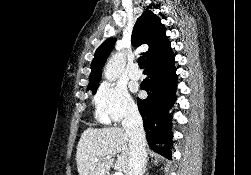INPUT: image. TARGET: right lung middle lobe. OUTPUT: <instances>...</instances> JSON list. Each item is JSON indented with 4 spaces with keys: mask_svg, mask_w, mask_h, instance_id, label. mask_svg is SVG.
Wrapping results in <instances>:
<instances>
[{
    "mask_svg": "<svg viewBox=\"0 0 251 175\" xmlns=\"http://www.w3.org/2000/svg\"><path fill=\"white\" fill-rule=\"evenodd\" d=\"M96 89H97V87H94V88H88V90H91L93 93H95V92H96Z\"/></svg>",
    "mask_w": 251,
    "mask_h": 175,
    "instance_id": "dd1d6c3e",
    "label": "right lung middle lobe"
}]
</instances>
